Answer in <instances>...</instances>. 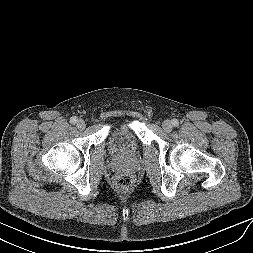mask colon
I'll return each instance as SVG.
<instances>
[{
    "label": "colon",
    "mask_w": 253,
    "mask_h": 253,
    "mask_svg": "<svg viewBox=\"0 0 253 253\" xmlns=\"http://www.w3.org/2000/svg\"><path fill=\"white\" fill-rule=\"evenodd\" d=\"M133 180L129 175H120L116 178L115 184L119 189L128 190L132 186Z\"/></svg>",
    "instance_id": "obj_1"
}]
</instances>
